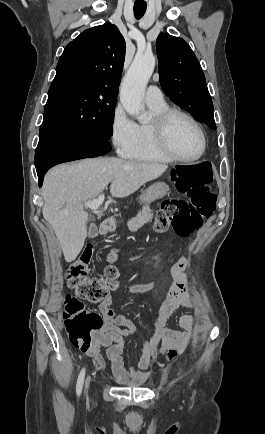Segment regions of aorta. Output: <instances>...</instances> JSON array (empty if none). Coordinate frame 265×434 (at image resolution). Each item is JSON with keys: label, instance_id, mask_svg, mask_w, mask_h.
I'll return each mask as SVG.
<instances>
[{"label": "aorta", "instance_id": "obj_1", "mask_svg": "<svg viewBox=\"0 0 265 434\" xmlns=\"http://www.w3.org/2000/svg\"><path fill=\"white\" fill-rule=\"evenodd\" d=\"M154 68L155 56L153 54L135 56L121 84L120 102L130 116H137L138 122H147L148 120L144 114L145 108L142 106V98H144L145 88Z\"/></svg>", "mask_w": 265, "mask_h": 434}]
</instances>
